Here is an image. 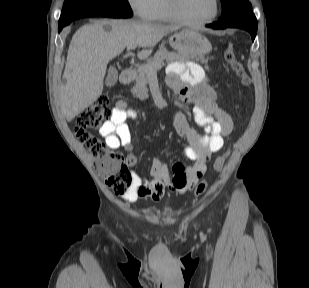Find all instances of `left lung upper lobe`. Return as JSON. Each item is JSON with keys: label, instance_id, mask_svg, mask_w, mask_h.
Here are the masks:
<instances>
[{"label": "left lung upper lobe", "instance_id": "1", "mask_svg": "<svg viewBox=\"0 0 309 288\" xmlns=\"http://www.w3.org/2000/svg\"><path fill=\"white\" fill-rule=\"evenodd\" d=\"M222 15L220 20H230L245 13L252 12L248 0H221Z\"/></svg>", "mask_w": 309, "mask_h": 288}]
</instances>
